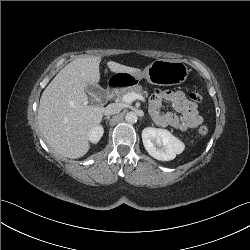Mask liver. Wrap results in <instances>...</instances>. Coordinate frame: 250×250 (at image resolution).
I'll return each mask as SVG.
<instances>
[{
	"label": "liver",
	"instance_id": "1",
	"mask_svg": "<svg viewBox=\"0 0 250 250\" xmlns=\"http://www.w3.org/2000/svg\"><path fill=\"white\" fill-rule=\"evenodd\" d=\"M101 57H81L68 63L45 88L38 108V126L49 146L65 157L84 156L89 148L88 135L98 126L104 107L88 105L86 87L100 80ZM110 71L135 73L138 69L113 61Z\"/></svg>",
	"mask_w": 250,
	"mask_h": 250
}]
</instances>
